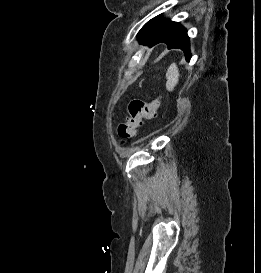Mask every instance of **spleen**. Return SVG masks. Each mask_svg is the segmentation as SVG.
<instances>
[{"label":"spleen","instance_id":"obj_1","mask_svg":"<svg viewBox=\"0 0 261 273\" xmlns=\"http://www.w3.org/2000/svg\"><path fill=\"white\" fill-rule=\"evenodd\" d=\"M166 78H167L166 88L168 91L171 92L174 90V87L177 85L179 81V70L176 63H172L169 66L166 73Z\"/></svg>","mask_w":261,"mask_h":273}]
</instances>
